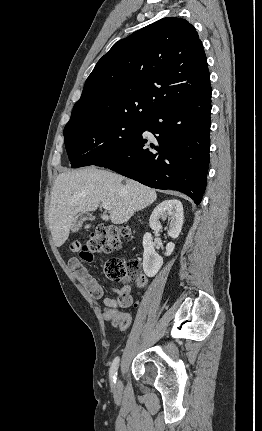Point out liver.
Masks as SVG:
<instances>
[{
  "label": "liver",
  "mask_w": 262,
  "mask_h": 431,
  "mask_svg": "<svg viewBox=\"0 0 262 431\" xmlns=\"http://www.w3.org/2000/svg\"><path fill=\"white\" fill-rule=\"evenodd\" d=\"M156 198L154 189L94 166L60 173L54 183L49 207L53 241L57 247L62 246L69 237L76 215L96 210L101 202H108L112 207L109 215L102 214L101 218L123 224Z\"/></svg>",
  "instance_id": "liver-1"
}]
</instances>
